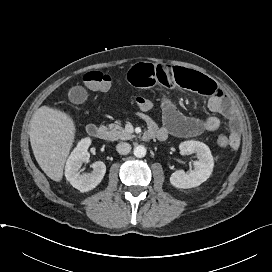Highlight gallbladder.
I'll return each mask as SVG.
<instances>
[{
  "label": "gallbladder",
  "instance_id": "gallbladder-1",
  "mask_svg": "<svg viewBox=\"0 0 272 272\" xmlns=\"http://www.w3.org/2000/svg\"><path fill=\"white\" fill-rule=\"evenodd\" d=\"M68 98L72 103H83L87 99V91L80 86L73 87L69 90Z\"/></svg>",
  "mask_w": 272,
  "mask_h": 272
}]
</instances>
